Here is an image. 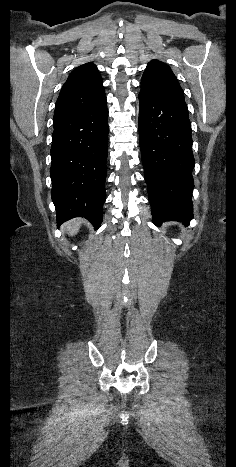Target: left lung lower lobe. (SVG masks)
I'll list each match as a JSON object with an SVG mask.
<instances>
[{"label": "left lung lower lobe", "instance_id": "0a47b994", "mask_svg": "<svg viewBox=\"0 0 236 467\" xmlns=\"http://www.w3.org/2000/svg\"><path fill=\"white\" fill-rule=\"evenodd\" d=\"M139 136L153 222L193 218L191 123L182 99L140 91Z\"/></svg>", "mask_w": 236, "mask_h": 467}]
</instances>
